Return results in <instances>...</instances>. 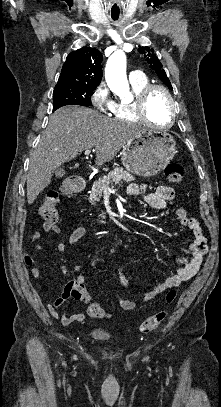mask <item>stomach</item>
Wrapping results in <instances>:
<instances>
[{
    "label": "stomach",
    "mask_w": 221,
    "mask_h": 407,
    "mask_svg": "<svg viewBox=\"0 0 221 407\" xmlns=\"http://www.w3.org/2000/svg\"><path fill=\"white\" fill-rule=\"evenodd\" d=\"M175 146L176 142L169 133L144 130L123 147L122 164L138 176L156 175L173 159Z\"/></svg>",
    "instance_id": "1"
}]
</instances>
